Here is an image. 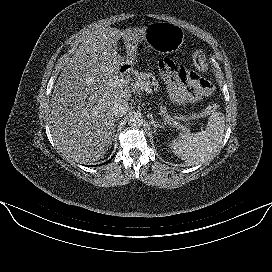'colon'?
I'll return each mask as SVG.
<instances>
[{
	"label": "colon",
	"instance_id": "colon-1",
	"mask_svg": "<svg viewBox=\"0 0 272 272\" xmlns=\"http://www.w3.org/2000/svg\"><path fill=\"white\" fill-rule=\"evenodd\" d=\"M193 63L195 67L200 71H205L207 68L206 60L204 54L202 52H196L193 54L192 57ZM219 109V106L216 104L209 105L204 109L197 111V112H190V113H181L175 112L174 117L180 122H190L194 119H198L201 117H205L216 112Z\"/></svg>",
	"mask_w": 272,
	"mask_h": 272
}]
</instances>
